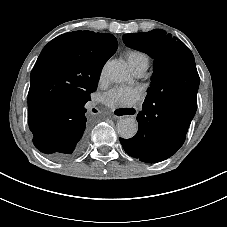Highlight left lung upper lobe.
Segmentation results:
<instances>
[{"label":"left lung upper lobe","mask_w":227,"mask_h":227,"mask_svg":"<svg viewBox=\"0 0 227 227\" xmlns=\"http://www.w3.org/2000/svg\"><path fill=\"white\" fill-rule=\"evenodd\" d=\"M123 40L127 46L154 59L152 83L145 100L156 95H169L170 88L185 82L189 76L198 75L190 49L164 30L125 34Z\"/></svg>","instance_id":"5c2ea615"}]
</instances>
